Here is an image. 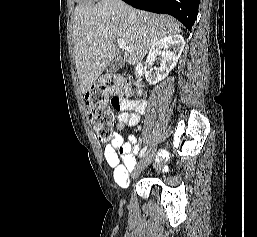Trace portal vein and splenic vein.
<instances>
[{"label":"portal vein and splenic vein","instance_id":"18ae733b","mask_svg":"<svg viewBox=\"0 0 257 237\" xmlns=\"http://www.w3.org/2000/svg\"><path fill=\"white\" fill-rule=\"evenodd\" d=\"M117 44L119 46L120 49L122 50H128L129 48L126 46V43L123 39H118L117 40Z\"/></svg>","mask_w":257,"mask_h":237}]
</instances>
